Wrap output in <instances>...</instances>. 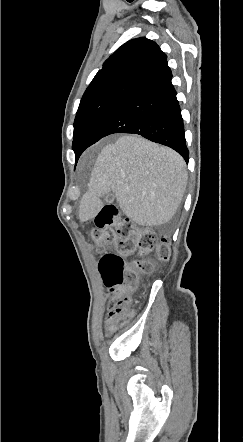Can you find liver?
<instances>
[{"mask_svg": "<svg viewBox=\"0 0 243 442\" xmlns=\"http://www.w3.org/2000/svg\"><path fill=\"white\" fill-rule=\"evenodd\" d=\"M184 159L174 150L136 135H123L107 144L95 162L90 188L79 205V219L96 217L100 197L113 191L123 213L140 226L168 223L187 185Z\"/></svg>", "mask_w": 243, "mask_h": 442, "instance_id": "1", "label": "liver"}]
</instances>
